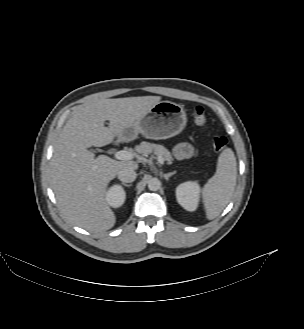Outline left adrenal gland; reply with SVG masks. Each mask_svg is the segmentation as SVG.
I'll list each match as a JSON object with an SVG mask.
<instances>
[{"mask_svg": "<svg viewBox=\"0 0 304 329\" xmlns=\"http://www.w3.org/2000/svg\"><path fill=\"white\" fill-rule=\"evenodd\" d=\"M176 172H170V173H167V174H163V177L165 178L166 181L169 180V178L174 175Z\"/></svg>", "mask_w": 304, "mask_h": 329, "instance_id": "1", "label": "left adrenal gland"}]
</instances>
